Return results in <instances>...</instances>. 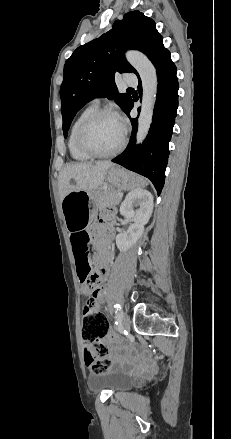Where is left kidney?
<instances>
[{
  "mask_svg": "<svg viewBox=\"0 0 231 439\" xmlns=\"http://www.w3.org/2000/svg\"><path fill=\"white\" fill-rule=\"evenodd\" d=\"M136 208V209H135ZM153 211V196L144 189L129 192L120 206V214L133 221L127 231L116 236V245L120 251L132 247L144 232Z\"/></svg>",
  "mask_w": 231,
  "mask_h": 439,
  "instance_id": "left-kidney-1",
  "label": "left kidney"
}]
</instances>
